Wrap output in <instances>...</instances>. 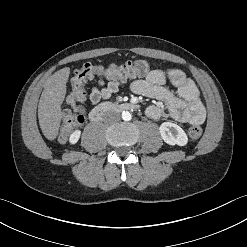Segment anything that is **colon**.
<instances>
[{
    "instance_id": "5ec220e1",
    "label": "colon",
    "mask_w": 247,
    "mask_h": 247,
    "mask_svg": "<svg viewBox=\"0 0 247 247\" xmlns=\"http://www.w3.org/2000/svg\"><path fill=\"white\" fill-rule=\"evenodd\" d=\"M151 63L145 59L130 60L122 65L111 64L107 67L84 64L80 69L74 71L72 78V96L77 102L76 110L73 114H68L60 129L61 140H66L71 131L84 120L82 103L85 100L84 85L95 76L104 75L110 79L126 80L143 76L149 72ZM192 140H197L202 135L200 126H192L188 131Z\"/></svg>"
}]
</instances>
